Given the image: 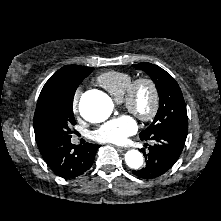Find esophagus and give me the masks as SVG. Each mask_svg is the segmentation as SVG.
Listing matches in <instances>:
<instances>
[{
  "label": "esophagus",
  "instance_id": "esophagus-1",
  "mask_svg": "<svg viewBox=\"0 0 221 221\" xmlns=\"http://www.w3.org/2000/svg\"><path fill=\"white\" fill-rule=\"evenodd\" d=\"M117 149L120 150V151H125V150H127V149L124 148V147H117Z\"/></svg>",
  "mask_w": 221,
  "mask_h": 221
}]
</instances>
